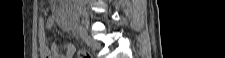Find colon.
Masks as SVG:
<instances>
[{"label":"colon","instance_id":"obj_1","mask_svg":"<svg viewBox=\"0 0 225 58\" xmlns=\"http://www.w3.org/2000/svg\"><path fill=\"white\" fill-rule=\"evenodd\" d=\"M91 52L85 49H81L78 51V58H91Z\"/></svg>","mask_w":225,"mask_h":58}]
</instances>
